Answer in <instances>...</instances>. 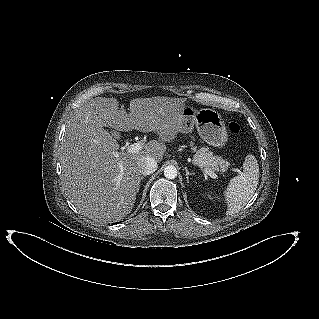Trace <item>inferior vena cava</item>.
<instances>
[{"instance_id": "obj_1", "label": "inferior vena cava", "mask_w": 319, "mask_h": 319, "mask_svg": "<svg viewBox=\"0 0 319 319\" xmlns=\"http://www.w3.org/2000/svg\"><path fill=\"white\" fill-rule=\"evenodd\" d=\"M157 162L150 156H147L140 160L139 171L143 175H150L157 170Z\"/></svg>"}]
</instances>
